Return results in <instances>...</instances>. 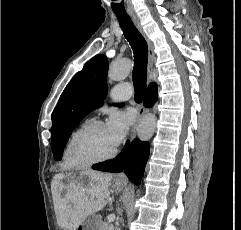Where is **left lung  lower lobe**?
<instances>
[{
    "label": "left lung lower lobe",
    "mask_w": 241,
    "mask_h": 230,
    "mask_svg": "<svg viewBox=\"0 0 241 230\" xmlns=\"http://www.w3.org/2000/svg\"><path fill=\"white\" fill-rule=\"evenodd\" d=\"M149 144L135 139L127 141L122 152L114 159L93 165V169L112 173L124 172L136 185L141 177L149 158Z\"/></svg>",
    "instance_id": "1"
}]
</instances>
